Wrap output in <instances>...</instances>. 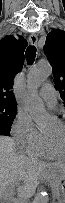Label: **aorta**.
Here are the masks:
<instances>
[{"label":"aorta","instance_id":"1","mask_svg":"<svg viewBox=\"0 0 65 203\" xmlns=\"http://www.w3.org/2000/svg\"><path fill=\"white\" fill-rule=\"evenodd\" d=\"M52 74V67L48 61H40L32 68L29 74V83L32 88L40 86ZM29 113L39 129H45L52 119L46 110L42 99L36 92H30L28 97ZM47 192L41 191L36 195L33 203H48Z\"/></svg>","mask_w":65,"mask_h":203}]
</instances>
